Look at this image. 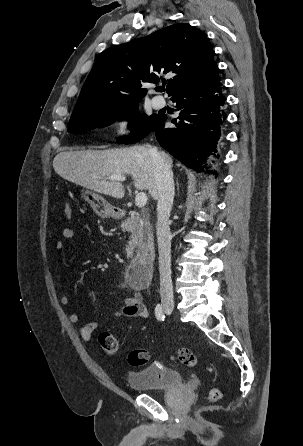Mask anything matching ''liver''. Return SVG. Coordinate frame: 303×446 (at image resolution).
<instances>
[{"label": "liver", "instance_id": "6515ba94", "mask_svg": "<svg viewBox=\"0 0 303 446\" xmlns=\"http://www.w3.org/2000/svg\"><path fill=\"white\" fill-rule=\"evenodd\" d=\"M159 153L171 168L172 158L163 151ZM53 168L59 176L70 182L117 199L124 197V186L119 181L107 180V177L130 175L136 189L148 190L157 199L153 159L150 148L146 146L62 151L55 156Z\"/></svg>", "mask_w": 303, "mask_h": 446}]
</instances>
